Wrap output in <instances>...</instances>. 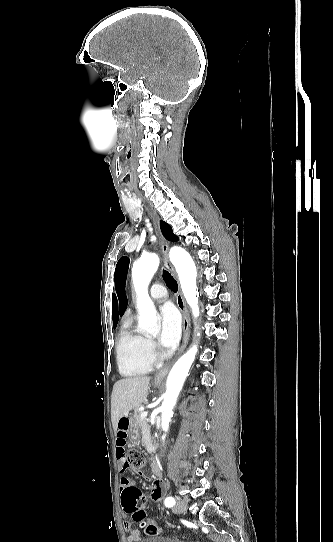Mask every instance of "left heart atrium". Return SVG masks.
<instances>
[{"mask_svg": "<svg viewBox=\"0 0 333 542\" xmlns=\"http://www.w3.org/2000/svg\"><path fill=\"white\" fill-rule=\"evenodd\" d=\"M162 329L158 341L160 347L171 353L175 350L181 333V320L178 311L171 304L161 308Z\"/></svg>", "mask_w": 333, "mask_h": 542, "instance_id": "1", "label": "left heart atrium"}]
</instances>
